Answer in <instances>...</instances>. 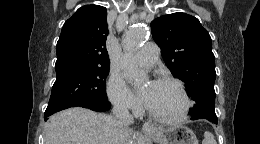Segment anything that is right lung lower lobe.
I'll return each instance as SVG.
<instances>
[{"mask_svg":"<svg viewBox=\"0 0 260 144\" xmlns=\"http://www.w3.org/2000/svg\"><path fill=\"white\" fill-rule=\"evenodd\" d=\"M70 107H75V106H70ZM81 107L88 108V109H91V110L97 111V112H103V111H107L110 109L111 103L108 101H104V102L94 103V104L81 106ZM66 108H69V107H62V108H57V109H52V110L46 111L44 114V119H46L47 117H49L50 115H52L58 111L66 109Z\"/></svg>","mask_w":260,"mask_h":144,"instance_id":"98d812e1","label":"right lung lower lobe"}]
</instances>
